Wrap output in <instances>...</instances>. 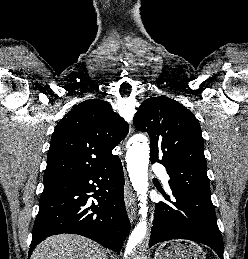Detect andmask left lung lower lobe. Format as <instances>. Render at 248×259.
<instances>
[{
	"label": "left lung lower lobe",
	"mask_w": 248,
	"mask_h": 259,
	"mask_svg": "<svg viewBox=\"0 0 248 259\" xmlns=\"http://www.w3.org/2000/svg\"><path fill=\"white\" fill-rule=\"evenodd\" d=\"M172 192L175 201L163 194L171 205L156 204L149 246L172 239H187L208 245L223 259V240L211 198Z\"/></svg>",
	"instance_id": "0a47b994"
}]
</instances>
